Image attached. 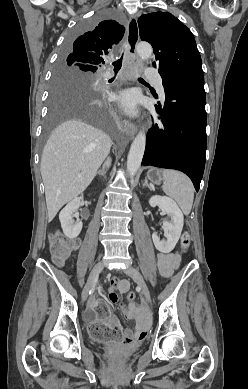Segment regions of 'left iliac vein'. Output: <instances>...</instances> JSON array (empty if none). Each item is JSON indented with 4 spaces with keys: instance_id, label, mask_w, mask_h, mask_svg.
<instances>
[{
    "instance_id": "1",
    "label": "left iliac vein",
    "mask_w": 248,
    "mask_h": 389,
    "mask_svg": "<svg viewBox=\"0 0 248 389\" xmlns=\"http://www.w3.org/2000/svg\"><path fill=\"white\" fill-rule=\"evenodd\" d=\"M124 273L130 276L141 288L142 294L145 297V300L148 304L151 302V296H150V291L147 287V284L142 277L141 273L134 267L128 266L125 270Z\"/></svg>"
}]
</instances>
